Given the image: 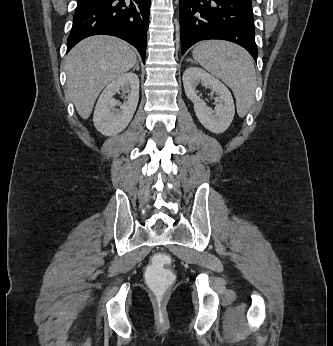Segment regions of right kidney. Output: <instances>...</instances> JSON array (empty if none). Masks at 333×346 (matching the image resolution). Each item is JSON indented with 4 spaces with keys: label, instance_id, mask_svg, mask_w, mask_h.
Here are the masks:
<instances>
[{
    "label": "right kidney",
    "instance_id": "obj_1",
    "mask_svg": "<svg viewBox=\"0 0 333 346\" xmlns=\"http://www.w3.org/2000/svg\"><path fill=\"white\" fill-rule=\"evenodd\" d=\"M119 90L128 93L123 104L114 98ZM138 100L139 78L135 73H124L114 79L97 101L93 116L96 129L106 136L123 131L133 118Z\"/></svg>",
    "mask_w": 333,
    "mask_h": 346
}]
</instances>
